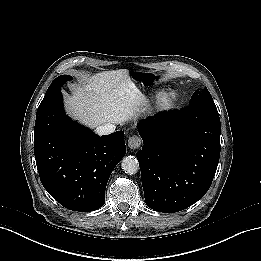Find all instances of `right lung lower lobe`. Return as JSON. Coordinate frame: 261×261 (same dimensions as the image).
<instances>
[{
    "mask_svg": "<svg viewBox=\"0 0 261 261\" xmlns=\"http://www.w3.org/2000/svg\"><path fill=\"white\" fill-rule=\"evenodd\" d=\"M125 153L123 131L99 137L75 123L65 115L61 93L37 111L34 154L40 180L67 209L103 206L108 179Z\"/></svg>",
    "mask_w": 261,
    "mask_h": 261,
    "instance_id": "98d812e1",
    "label": "right lung lower lobe"
}]
</instances>
